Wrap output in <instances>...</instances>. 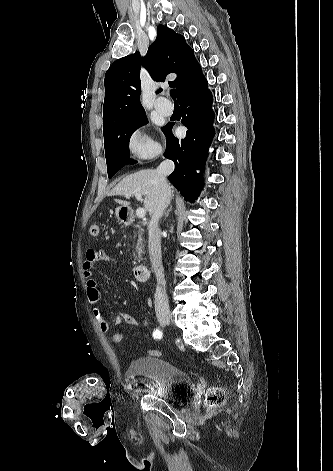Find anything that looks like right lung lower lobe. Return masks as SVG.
<instances>
[{
	"label": "right lung lower lobe",
	"mask_w": 333,
	"mask_h": 471,
	"mask_svg": "<svg viewBox=\"0 0 333 471\" xmlns=\"http://www.w3.org/2000/svg\"><path fill=\"white\" fill-rule=\"evenodd\" d=\"M182 110V124L188 128L186 137L178 140L168 123L163 132L166 136L165 157L175 163V170L168 177L185 200L193 201L200 194L203 179L196 169L203 170L208 148L214 136L212 95L207 81L201 74L178 99Z\"/></svg>",
	"instance_id": "right-lung-lower-lobe-1"
}]
</instances>
